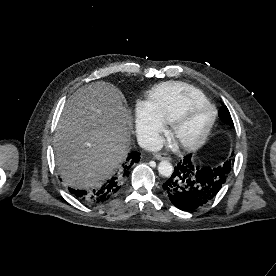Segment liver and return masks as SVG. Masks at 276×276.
I'll use <instances>...</instances> for the list:
<instances>
[{
  "label": "liver",
  "mask_w": 276,
  "mask_h": 276,
  "mask_svg": "<svg viewBox=\"0 0 276 276\" xmlns=\"http://www.w3.org/2000/svg\"><path fill=\"white\" fill-rule=\"evenodd\" d=\"M130 113L119 90L97 81L65 103L54 137L56 164L76 189L99 186L119 168L130 150Z\"/></svg>",
  "instance_id": "6515ba94"
}]
</instances>
